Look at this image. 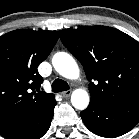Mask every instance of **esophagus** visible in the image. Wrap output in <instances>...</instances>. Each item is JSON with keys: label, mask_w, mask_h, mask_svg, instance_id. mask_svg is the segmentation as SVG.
<instances>
[{"label": "esophagus", "mask_w": 139, "mask_h": 139, "mask_svg": "<svg viewBox=\"0 0 139 139\" xmlns=\"http://www.w3.org/2000/svg\"><path fill=\"white\" fill-rule=\"evenodd\" d=\"M72 91L71 90H66L64 92H62L63 97H69L71 95Z\"/></svg>", "instance_id": "obj_1"}]
</instances>
